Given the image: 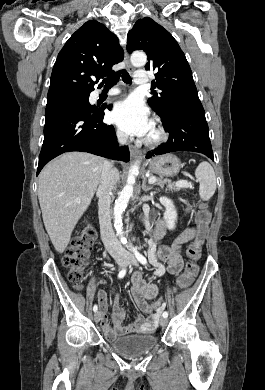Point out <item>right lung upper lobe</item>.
Here are the masks:
<instances>
[{"label": "right lung upper lobe", "mask_w": 265, "mask_h": 390, "mask_svg": "<svg viewBox=\"0 0 265 390\" xmlns=\"http://www.w3.org/2000/svg\"><path fill=\"white\" fill-rule=\"evenodd\" d=\"M123 58L124 51L117 36L98 21H87L59 52L51 74L47 101L90 94L100 78L114 74L112 66Z\"/></svg>", "instance_id": "cb5924a9"}]
</instances>
